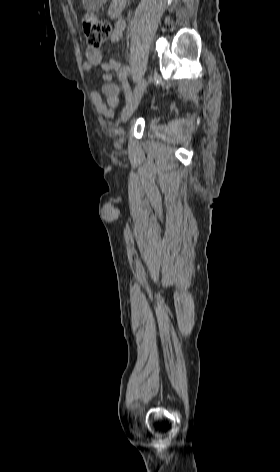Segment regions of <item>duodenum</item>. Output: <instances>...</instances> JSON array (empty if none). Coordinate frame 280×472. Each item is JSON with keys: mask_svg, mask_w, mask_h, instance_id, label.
<instances>
[{"mask_svg": "<svg viewBox=\"0 0 280 472\" xmlns=\"http://www.w3.org/2000/svg\"><path fill=\"white\" fill-rule=\"evenodd\" d=\"M127 0H112L109 7V16L112 19L117 18L123 11Z\"/></svg>", "mask_w": 280, "mask_h": 472, "instance_id": "obj_1", "label": "duodenum"}]
</instances>
